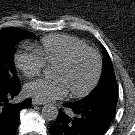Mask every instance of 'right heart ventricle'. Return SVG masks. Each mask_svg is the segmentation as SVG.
Masks as SVG:
<instances>
[{
	"instance_id": "right-heart-ventricle-1",
	"label": "right heart ventricle",
	"mask_w": 135,
	"mask_h": 135,
	"mask_svg": "<svg viewBox=\"0 0 135 135\" xmlns=\"http://www.w3.org/2000/svg\"><path fill=\"white\" fill-rule=\"evenodd\" d=\"M84 47H88V44L75 36L53 34L43 37L35 50L40 54L44 64L53 66L72 50Z\"/></svg>"
}]
</instances>
